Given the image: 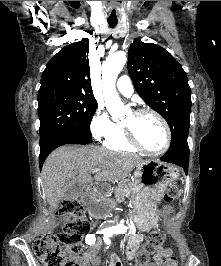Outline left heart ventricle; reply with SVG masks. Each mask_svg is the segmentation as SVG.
I'll list each match as a JSON object with an SVG mask.
<instances>
[{
	"instance_id": "b2bd125f",
	"label": "left heart ventricle",
	"mask_w": 221,
	"mask_h": 266,
	"mask_svg": "<svg viewBox=\"0 0 221 266\" xmlns=\"http://www.w3.org/2000/svg\"><path fill=\"white\" fill-rule=\"evenodd\" d=\"M123 125L133 128L140 143L148 150H158L164 144V128L159 120L151 114L135 116L131 113Z\"/></svg>"
}]
</instances>
